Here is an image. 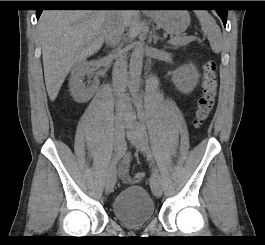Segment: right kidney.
I'll list each match as a JSON object with an SVG mask.
<instances>
[{"instance_id":"obj_1","label":"right kidney","mask_w":265,"mask_h":245,"mask_svg":"<svg viewBox=\"0 0 265 245\" xmlns=\"http://www.w3.org/2000/svg\"><path fill=\"white\" fill-rule=\"evenodd\" d=\"M85 75H93V70L90 68L89 62L82 60L73 66L69 79L71 95L73 99L79 103L90 100L99 85V80L95 78L91 86H85L83 83Z\"/></svg>"}]
</instances>
